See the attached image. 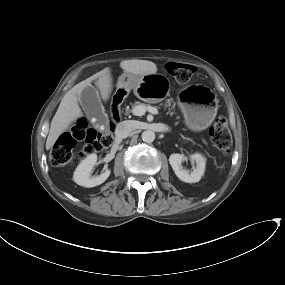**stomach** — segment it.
I'll return each instance as SVG.
<instances>
[{
	"instance_id": "0dacf381",
	"label": "stomach",
	"mask_w": 285,
	"mask_h": 285,
	"mask_svg": "<svg viewBox=\"0 0 285 285\" xmlns=\"http://www.w3.org/2000/svg\"><path fill=\"white\" fill-rule=\"evenodd\" d=\"M162 74L135 76L124 72L118 79L117 89L134 90L135 95L146 102H156L158 99L151 94L161 85L167 83ZM178 104L184 114L185 124L192 131H202L213 121L217 107L214 94L205 86L192 85L184 88L178 95Z\"/></svg>"
}]
</instances>
